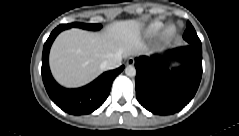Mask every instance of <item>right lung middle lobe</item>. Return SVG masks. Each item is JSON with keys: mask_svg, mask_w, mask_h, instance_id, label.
<instances>
[{"mask_svg": "<svg viewBox=\"0 0 239 136\" xmlns=\"http://www.w3.org/2000/svg\"><path fill=\"white\" fill-rule=\"evenodd\" d=\"M64 29L71 27H78L87 30H99L102 26L100 24H85V23H70L61 25Z\"/></svg>", "mask_w": 239, "mask_h": 136, "instance_id": "obj_1", "label": "right lung middle lobe"}]
</instances>
